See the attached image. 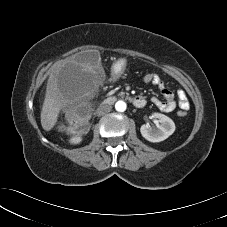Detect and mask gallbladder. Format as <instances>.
<instances>
[{"label": "gallbladder", "instance_id": "gallbladder-1", "mask_svg": "<svg viewBox=\"0 0 227 227\" xmlns=\"http://www.w3.org/2000/svg\"><path fill=\"white\" fill-rule=\"evenodd\" d=\"M99 54L93 50H87L80 53L76 60L78 62L89 63L91 66L99 65Z\"/></svg>", "mask_w": 227, "mask_h": 227}]
</instances>
